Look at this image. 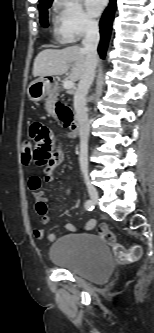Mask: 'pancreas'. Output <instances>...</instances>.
Here are the masks:
<instances>
[{
  "mask_svg": "<svg viewBox=\"0 0 154 333\" xmlns=\"http://www.w3.org/2000/svg\"><path fill=\"white\" fill-rule=\"evenodd\" d=\"M60 89H53L50 93H49V97L47 99V102L45 104V107L47 109V111L49 113H53L54 112V105L55 103L58 101L57 97L59 95Z\"/></svg>",
  "mask_w": 154,
  "mask_h": 333,
  "instance_id": "1",
  "label": "pancreas"
}]
</instances>
